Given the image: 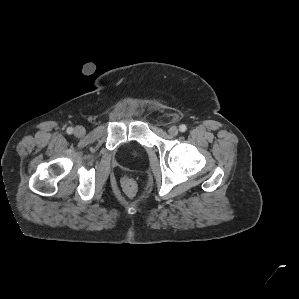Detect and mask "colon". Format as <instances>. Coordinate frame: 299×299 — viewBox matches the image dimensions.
Masks as SVG:
<instances>
[{
    "mask_svg": "<svg viewBox=\"0 0 299 299\" xmlns=\"http://www.w3.org/2000/svg\"><path fill=\"white\" fill-rule=\"evenodd\" d=\"M121 187L129 196H134L137 191V185L134 178L128 175L121 179Z\"/></svg>",
    "mask_w": 299,
    "mask_h": 299,
    "instance_id": "obj_1",
    "label": "colon"
}]
</instances>
